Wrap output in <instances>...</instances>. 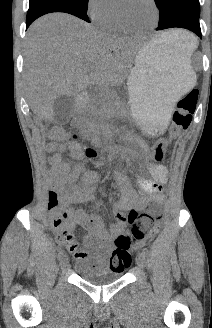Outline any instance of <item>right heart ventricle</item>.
<instances>
[{
  "label": "right heart ventricle",
  "instance_id": "obj_1",
  "mask_svg": "<svg viewBox=\"0 0 212 328\" xmlns=\"http://www.w3.org/2000/svg\"><path fill=\"white\" fill-rule=\"evenodd\" d=\"M99 25L104 30L110 32V33H127L122 25L120 24L116 12H112L109 14L105 19H103L101 22H99Z\"/></svg>",
  "mask_w": 212,
  "mask_h": 328
}]
</instances>
